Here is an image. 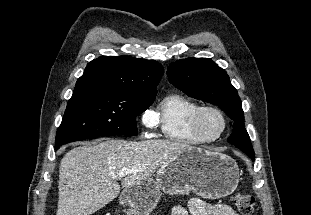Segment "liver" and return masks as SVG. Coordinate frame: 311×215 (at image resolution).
I'll return each mask as SVG.
<instances>
[{
    "instance_id": "liver-1",
    "label": "liver",
    "mask_w": 311,
    "mask_h": 215,
    "mask_svg": "<svg viewBox=\"0 0 311 215\" xmlns=\"http://www.w3.org/2000/svg\"><path fill=\"white\" fill-rule=\"evenodd\" d=\"M192 147L168 140L108 139L75 147L59 168L56 215H90L114 200L121 191L148 179L166 162ZM122 169H137L118 183ZM124 189V190H125Z\"/></svg>"
}]
</instances>
